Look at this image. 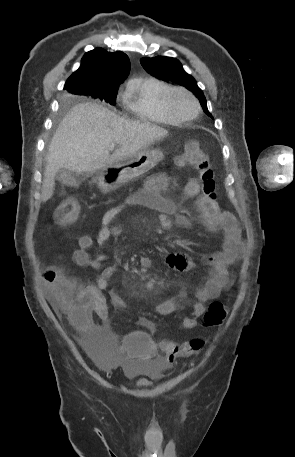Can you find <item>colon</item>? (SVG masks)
<instances>
[{"label":"colon","mask_w":295,"mask_h":457,"mask_svg":"<svg viewBox=\"0 0 295 457\" xmlns=\"http://www.w3.org/2000/svg\"><path fill=\"white\" fill-rule=\"evenodd\" d=\"M181 167L189 166L197 170L202 188V195L212 201L216 199L215 176L208 155L200 148L198 141L189 140L184 151L177 159ZM79 206L74 200L63 202L56 211V220L61 225H68L76 220ZM46 273L55 280V295L60 307L71 319H78L85 311L86 298L84 286L67 278L60 269L49 268ZM226 307L219 301L212 302L204 314V322L209 327L219 326L226 318ZM123 341L117 345V356L124 362L148 363L160 358L166 363L182 360L183 357L197 353L204 345V340L194 338L179 341L178 345L166 342L160 348L157 341H151V330H128L123 333Z\"/></svg>","instance_id":"1"}]
</instances>
